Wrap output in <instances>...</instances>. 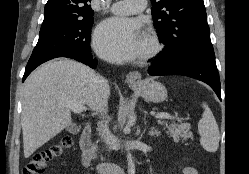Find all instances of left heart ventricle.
I'll list each match as a JSON object with an SVG mask.
<instances>
[{
    "label": "left heart ventricle",
    "mask_w": 249,
    "mask_h": 174,
    "mask_svg": "<svg viewBox=\"0 0 249 174\" xmlns=\"http://www.w3.org/2000/svg\"><path fill=\"white\" fill-rule=\"evenodd\" d=\"M146 47V35H142L140 39V51Z\"/></svg>",
    "instance_id": "b2bd125f"
}]
</instances>
